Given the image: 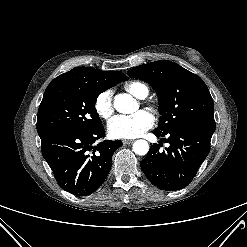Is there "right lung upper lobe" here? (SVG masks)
Returning a JSON list of instances; mask_svg holds the SVG:
<instances>
[{
  "label": "right lung upper lobe",
  "instance_id": "1",
  "mask_svg": "<svg viewBox=\"0 0 247 247\" xmlns=\"http://www.w3.org/2000/svg\"><path fill=\"white\" fill-rule=\"evenodd\" d=\"M126 80V75L119 71H101L89 67H77L52 80L46 89L69 81L95 82L111 88Z\"/></svg>",
  "mask_w": 247,
  "mask_h": 247
}]
</instances>
